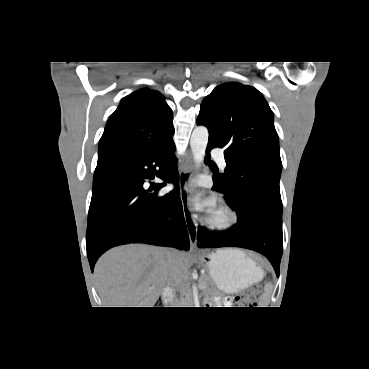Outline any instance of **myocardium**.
I'll return each mask as SVG.
<instances>
[{"instance_id":"myocardium-1","label":"myocardium","mask_w":369,"mask_h":369,"mask_svg":"<svg viewBox=\"0 0 369 369\" xmlns=\"http://www.w3.org/2000/svg\"><path fill=\"white\" fill-rule=\"evenodd\" d=\"M237 220V214L230 206L222 201H217L208 212L204 223L211 230L226 232L234 228Z\"/></svg>"}]
</instances>
